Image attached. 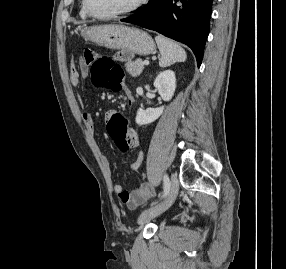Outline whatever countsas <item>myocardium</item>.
<instances>
[{"instance_id": "f54148a6", "label": "myocardium", "mask_w": 286, "mask_h": 269, "mask_svg": "<svg viewBox=\"0 0 286 269\" xmlns=\"http://www.w3.org/2000/svg\"><path fill=\"white\" fill-rule=\"evenodd\" d=\"M148 1L149 0H137L130 7L126 9H123L121 11H117L111 14H106V15H100V14L94 13L89 6V0H83V7L87 15H89L90 17H93L95 19H100V20H108V19H115V18H119L125 15L132 14L138 11L139 9H141L145 4L148 3Z\"/></svg>"}]
</instances>
